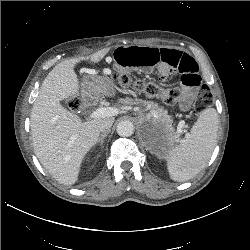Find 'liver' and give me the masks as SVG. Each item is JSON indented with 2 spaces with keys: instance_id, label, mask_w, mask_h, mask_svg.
Segmentation results:
<instances>
[{
  "instance_id": "liver-1",
  "label": "liver",
  "mask_w": 250,
  "mask_h": 250,
  "mask_svg": "<svg viewBox=\"0 0 250 250\" xmlns=\"http://www.w3.org/2000/svg\"><path fill=\"white\" fill-rule=\"evenodd\" d=\"M105 48L87 57L64 60L56 65L42 83L33 105L30 126L34 152L43 167L59 183L73 185L78 180L81 163L99 139L95 118L82 123L60 101L79 95L80 81L74 71L77 63H98L108 53ZM86 72L93 73L91 69ZM82 95V93H81Z\"/></svg>"
}]
</instances>
